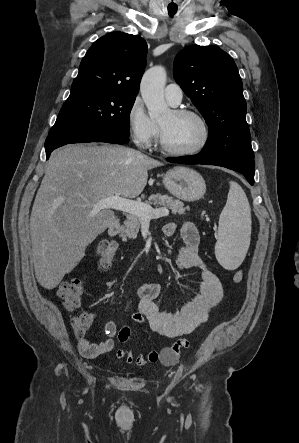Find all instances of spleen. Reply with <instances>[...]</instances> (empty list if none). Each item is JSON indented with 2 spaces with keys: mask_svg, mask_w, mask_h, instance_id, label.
Instances as JSON below:
<instances>
[{
  "mask_svg": "<svg viewBox=\"0 0 299 443\" xmlns=\"http://www.w3.org/2000/svg\"><path fill=\"white\" fill-rule=\"evenodd\" d=\"M251 209L244 190L236 182L230 189L218 227L215 255L220 265L235 270L243 262L250 244Z\"/></svg>",
  "mask_w": 299,
  "mask_h": 443,
  "instance_id": "obj_1",
  "label": "spleen"
}]
</instances>
